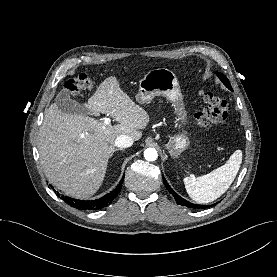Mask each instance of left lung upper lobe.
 Returning a JSON list of instances; mask_svg holds the SVG:
<instances>
[{
	"instance_id": "left-lung-upper-lobe-1",
	"label": "left lung upper lobe",
	"mask_w": 277,
	"mask_h": 277,
	"mask_svg": "<svg viewBox=\"0 0 277 277\" xmlns=\"http://www.w3.org/2000/svg\"><path fill=\"white\" fill-rule=\"evenodd\" d=\"M216 74L219 77V79L225 84V86L232 91V87H231L230 82L227 79V77L220 72H216Z\"/></svg>"
}]
</instances>
